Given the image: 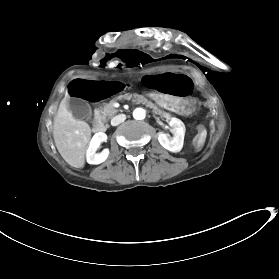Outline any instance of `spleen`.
<instances>
[{
	"mask_svg": "<svg viewBox=\"0 0 279 279\" xmlns=\"http://www.w3.org/2000/svg\"><path fill=\"white\" fill-rule=\"evenodd\" d=\"M206 131L204 129H201L199 133L195 136V141L193 142L194 150L196 152H199L201 148L203 147L206 139Z\"/></svg>",
	"mask_w": 279,
	"mask_h": 279,
	"instance_id": "1",
	"label": "spleen"
}]
</instances>
